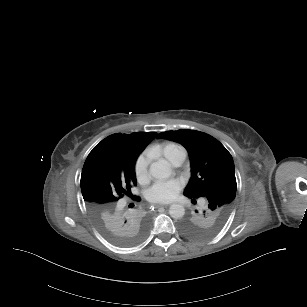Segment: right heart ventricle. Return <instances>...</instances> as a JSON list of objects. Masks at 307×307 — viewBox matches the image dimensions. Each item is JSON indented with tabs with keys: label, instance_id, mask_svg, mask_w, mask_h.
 <instances>
[{
	"label": "right heart ventricle",
	"instance_id": "obj_1",
	"mask_svg": "<svg viewBox=\"0 0 307 307\" xmlns=\"http://www.w3.org/2000/svg\"><path fill=\"white\" fill-rule=\"evenodd\" d=\"M172 147H173V148H182V149H184L183 147H181V146H179V145H177V144H172Z\"/></svg>",
	"mask_w": 307,
	"mask_h": 307
}]
</instances>
